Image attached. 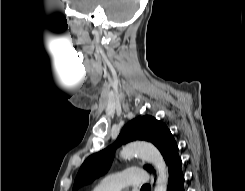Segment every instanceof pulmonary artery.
<instances>
[{
	"mask_svg": "<svg viewBox=\"0 0 245 191\" xmlns=\"http://www.w3.org/2000/svg\"><path fill=\"white\" fill-rule=\"evenodd\" d=\"M149 174L136 167L126 168L106 177L92 191H121L129 186L148 183Z\"/></svg>",
	"mask_w": 245,
	"mask_h": 191,
	"instance_id": "obj_1",
	"label": "pulmonary artery"
}]
</instances>
